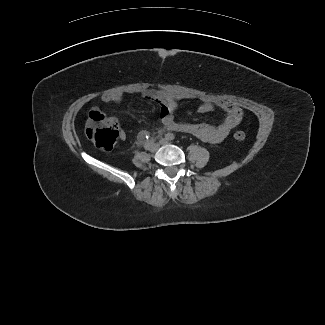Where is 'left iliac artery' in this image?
Wrapping results in <instances>:
<instances>
[{
	"instance_id": "left-iliac-artery-1",
	"label": "left iliac artery",
	"mask_w": 325,
	"mask_h": 325,
	"mask_svg": "<svg viewBox=\"0 0 325 325\" xmlns=\"http://www.w3.org/2000/svg\"><path fill=\"white\" fill-rule=\"evenodd\" d=\"M165 137H166V139H168V140H174V139H175V136H174L173 133H167V134L165 135Z\"/></svg>"
}]
</instances>
